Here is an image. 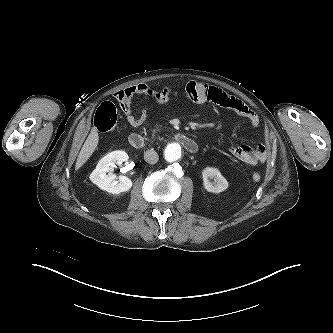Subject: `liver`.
Here are the masks:
<instances>
[{"label": "liver", "mask_w": 333, "mask_h": 333, "mask_svg": "<svg viewBox=\"0 0 333 333\" xmlns=\"http://www.w3.org/2000/svg\"><path fill=\"white\" fill-rule=\"evenodd\" d=\"M99 141L98 132L95 128H92L90 134L88 135L81 151L77 157L75 170L80 169L86 161L91 157L93 152L95 151Z\"/></svg>", "instance_id": "1"}]
</instances>
